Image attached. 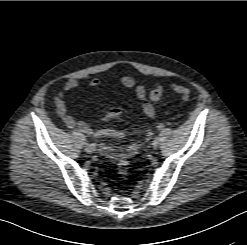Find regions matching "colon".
Returning a JSON list of instances; mask_svg holds the SVG:
<instances>
[{
  "mask_svg": "<svg viewBox=\"0 0 247 245\" xmlns=\"http://www.w3.org/2000/svg\"><path fill=\"white\" fill-rule=\"evenodd\" d=\"M172 90L181 96L183 99H188L190 96V89L183 85L172 84ZM161 98V90L154 89L150 92L149 99L151 102H157ZM117 170L121 179H126L129 174V158L121 156L117 162Z\"/></svg>",
  "mask_w": 247,
  "mask_h": 245,
  "instance_id": "obj_1",
  "label": "colon"
}]
</instances>
